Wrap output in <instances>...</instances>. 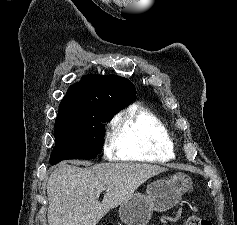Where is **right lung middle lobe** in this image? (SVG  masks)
Wrapping results in <instances>:
<instances>
[{"label": "right lung middle lobe", "instance_id": "right-lung-middle-lobe-1", "mask_svg": "<svg viewBox=\"0 0 237 225\" xmlns=\"http://www.w3.org/2000/svg\"><path fill=\"white\" fill-rule=\"evenodd\" d=\"M115 114L101 111L88 122L56 119L55 146L50 160L95 158L102 151L104 123L110 121Z\"/></svg>", "mask_w": 237, "mask_h": 225}]
</instances>
